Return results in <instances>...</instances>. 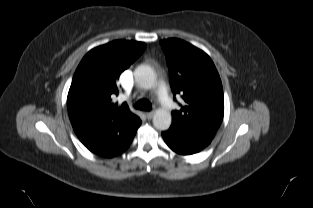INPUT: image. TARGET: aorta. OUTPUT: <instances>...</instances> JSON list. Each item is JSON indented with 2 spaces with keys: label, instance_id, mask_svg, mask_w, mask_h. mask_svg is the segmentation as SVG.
Here are the masks:
<instances>
[{
  "label": "aorta",
  "instance_id": "obj_1",
  "mask_svg": "<svg viewBox=\"0 0 313 208\" xmlns=\"http://www.w3.org/2000/svg\"><path fill=\"white\" fill-rule=\"evenodd\" d=\"M134 77L137 84L144 88L150 89L155 86L157 75L153 68L148 65H140L134 71ZM172 122L171 113L164 108L157 109L153 116V125L158 130L169 129Z\"/></svg>",
  "mask_w": 313,
  "mask_h": 208
}]
</instances>
